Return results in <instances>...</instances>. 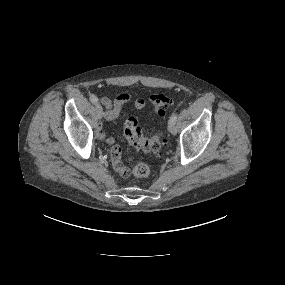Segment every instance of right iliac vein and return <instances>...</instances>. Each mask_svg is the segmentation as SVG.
I'll use <instances>...</instances> for the list:
<instances>
[{"mask_svg":"<svg viewBox=\"0 0 285 285\" xmlns=\"http://www.w3.org/2000/svg\"><path fill=\"white\" fill-rule=\"evenodd\" d=\"M95 109H96L98 118L101 119L103 111H102V107L100 106V104L96 103Z\"/></svg>","mask_w":285,"mask_h":285,"instance_id":"1","label":"right iliac vein"}]
</instances>
